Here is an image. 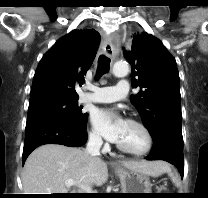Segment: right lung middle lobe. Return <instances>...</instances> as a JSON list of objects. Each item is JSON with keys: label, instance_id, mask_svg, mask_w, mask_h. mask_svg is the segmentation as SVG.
<instances>
[{"label": "right lung middle lobe", "instance_id": "right-lung-middle-lobe-1", "mask_svg": "<svg viewBox=\"0 0 208 198\" xmlns=\"http://www.w3.org/2000/svg\"><path fill=\"white\" fill-rule=\"evenodd\" d=\"M49 118L63 119L85 128L88 114L82 112L78 99L48 101L29 107L26 125Z\"/></svg>", "mask_w": 208, "mask_h": 198}]
</instances>
